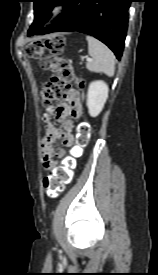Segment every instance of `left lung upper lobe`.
I'll return each instance as SVG.
<instances>
[{"label":"left lung upper lobe","instance_id":"obj_1","mask_svg":"<svg viewBox=\"0 0 158 275\" xmlns=\"http://www.w3.org/2000/svg\"><path fill=\"white\" fill-rule=\"evenodd\" d=\"M65 0H33L35 19L30 29L28 35H34L40 32L44 23H46L50 17L52 8L57 4H62Z\"/></svg>","mask_w":158,"mask_h":275}]
</instances>
